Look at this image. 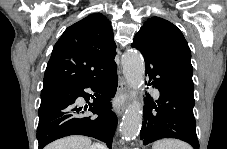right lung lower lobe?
<instances>
[{
    "mask_svg": "<svg viewBox=\"0 0 227 149\" xmlns=\"http://www.w3.org/2000/svg\"><path fill=\"white\" fill-rule=\"evenodd\" d=\"M117 84V65L113 61L97 74L68 87L66 93L41 105L36 133L39 149L56 139L75 134L99 139L111 149L117 117L111 111L110 99L116 93ZM86 88L94 95L86 93ZM78 97H83L88 106L78 107L75 104ZM90 97L92 103L88 101ZM86 110L94 114L93 118L83 115Z\"/></svg>",
    "mask_w": 227,
    "mask_h": 149,
    "instance_id": "98d812e1",
    "label": "right lung lower lobe"
}]
</instances>
